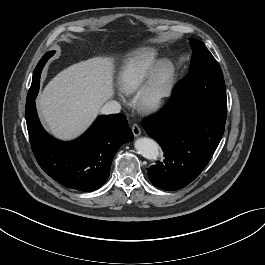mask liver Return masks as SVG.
I'll use <instances>...</instances> for the list:
<instances>
[{
	"label": "liver",
	"mask_w": 265,
	"mask_h": 265,
	"mask_svg": "<svg viewBox=\"0 0 265 265\" xmlns=\"http://www.w3.org/2000/svg\"><path fill=\"white\" fill-rule=\"evenodd\" d=\"M113 60L94 57L59 72L38 96L41 119L56 138L72 140L114 96Z\"/></svg>",
	"instance_id": "6515ba94"
}]
</instances>
